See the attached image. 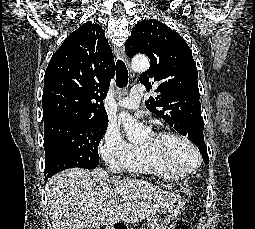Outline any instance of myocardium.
<instances>
[{
  "label": "myocardium",
  "mask_w": 255,
  "mask_h": 229,
  "mask_svg": "<svg viewBox=\"0 0 255 229\" xmlns=\"http://www.w3.org/2000/svg\"><path fill=\"white\" fill-rule=\"evenodd\" d=\"M174 138L180 140L187 144L195 153L197 157V161L192 166H185V167H175L171 163H169L161 154L159 150V144L166 139ZM143 147L153 156L155 157L161 164H163L168 170L173 173H185L189 174L196 169H198L202 163V155L198 147L195 143L190 140L187 136L177 133V132H158L153 134V143L143 145Z\"/></svg>",
  "instance_id": "myocardium-1"
}]
</instances>
